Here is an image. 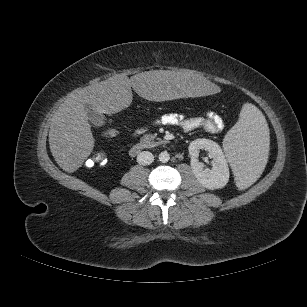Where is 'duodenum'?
<instances>
[{"label":"duodenum","instance_id":"obj_1","mask_svg":"<svg viewBox=\"0 0 307 307\" xmlns=\"http://www.w3.org/2000/svg\"><path fill=\"white\" fill-rule=\"evenodd\" d=\"M167 141L163 139H157V140H144L141 142H138L131 146L130 148V154L131 156H136L140 152L146 149L156 148L158 146H161L163 144H166Z\"/></svg>","mask_w":307,"mask_h":307}]
</instances>
